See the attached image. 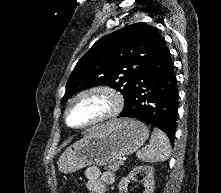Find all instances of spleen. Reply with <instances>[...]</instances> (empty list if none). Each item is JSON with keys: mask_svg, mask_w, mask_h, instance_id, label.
Segmentation results:
<instances>
[{"mask_svg": "<svg viewBox=\"0 0 221 193\" xmlns=\"http://www.w3.org/2000/svg\"><path fill=\"white\" fill-rule=\"evenodd\" d=\"M171 153L170 142L167 136L159 129L154 128L149 145L137 152V157L143 162L166 161Z\"/></svg>", "mask_w": 221, "mask_h": 193, "instance_id": "3e777b00", "label": "spleen"}]
</instances>
